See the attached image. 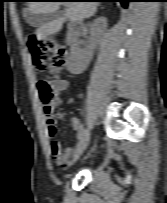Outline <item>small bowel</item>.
Here are the masks:
<instances>
[{
  "instance_id": "1",
  "label": "small bowel",
  "mask_w": 167,
  "mask_h": 203,
  "mask_svg": "<svg viewBox=\"0 0 167 203\" xmlns=\"http://www.w3.org/2000/svg\"><path fill=\"white\" fill-rule=\"evenodd\" d=\"M52 86L58 92H65L68 89V82L64 79L54 77L51 79ZM47 131L50 138L49 150L53 160L61 167L65 168L68 164V159L74 155V149L71 147L62 148L56 140L57 129L55 125V118L53 115L46 114ZM71 125L78 133L80 131V121L78 118L71 120Z\"/></svg>"
}]
</instances>
